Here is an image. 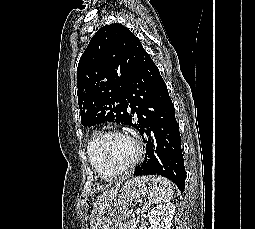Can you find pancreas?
<instances>
[{
    "mask_svg": "<svg viewBox=\"0 0 255 229\" xmlns=\"http://www.w3.org/2000/svg\"><path fill=\"white\" fill-rule=\"evenodd\" d=\"M139 226V218H135L130 222L120 224L119 229H138Z\"/></svg>",
    "mask_w": 255,
    "mask_h": 229,
    "instance_id": "pancreas-1",
    "label": "pancreas"
}]
</instances>
